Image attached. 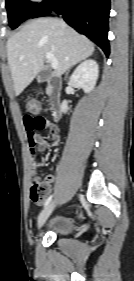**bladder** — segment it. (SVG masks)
I'll return each instance as SVG.
<instances>
[{
	"mask_svg": "<svg viewBox=\"0 0 134 281\" xmlns=\"http://www.w3.org/2000/svg\"><path fill=\"white\" fill-rule=\"evenodd\" d=\"M48 229L58 236H67L74 232L75 221L66 215H57L48 223Z\"/></svg>",
	"mask_w": 134,
	"mask_h": 281,
	"instance_id": "31cf9c89",
	"label": "bladder"
}]
</instances>
